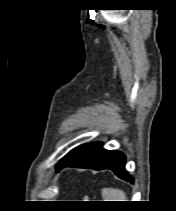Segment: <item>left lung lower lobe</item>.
Wrapping results in <instances>:
<instances>
[{
  "label": "left lung lower lobe",
  "instance_id": "left-lung-lower-lobe-1",
  "mask_svg": "<svg viewBox=\"0 0 176 211\" xmlns=\"http://www.w3.org/2000/svg\"><path fill=\"white\" fill-rule=\"evenodd\" d=\"M64 167L111 169L119 178L133 182V178L125 169V155L121 152L105 150L99 142L85 145L80 152L64 161L56 170L60 171Z\"/></svg>",
  "mask_w": 176,
  "mask_h": 211
}]
</instances>
